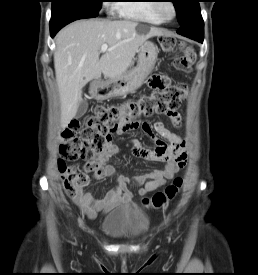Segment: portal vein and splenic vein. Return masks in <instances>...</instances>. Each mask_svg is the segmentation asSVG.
Here are the masks:
<instances>
[{"mask_svg": "<svg viewBox=\"0 0 258 275\" xmlns=\"http://www.w3.org/2000/svg\"><path fill=\"white\" fill-rule=\"evenodd\" d=\"M107 50H108V45L107 44H103L100 48V51L103 52V53L106 52Z\"/></svg>", "mask_w": 258, "mask_h": 275, "instance_id": "obj_1", "label": "portal vein and splenic vein"}]
</instances>
